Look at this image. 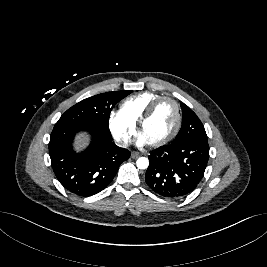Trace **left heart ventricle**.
I'll return each mask as SVG.
<instances>
[{
	"label": "left heart ventricle",
	"instance_id": "1",
	"mask_svg": "<svg viewBox=\"0 0 267 267\" xmlns=\"http://www.w3.org/2000/svg\"><path fill=\"white\" fill-rule=\"evenodd\" d=\"M175 121L176 113L173 104L168 101L163 102L143 126L140 135L149 143L157 142L171 132Z\"/></svg>",
	"mask_w": 267,
	"mask_h": 267
}]
</instances>
